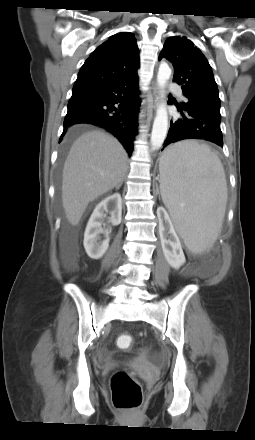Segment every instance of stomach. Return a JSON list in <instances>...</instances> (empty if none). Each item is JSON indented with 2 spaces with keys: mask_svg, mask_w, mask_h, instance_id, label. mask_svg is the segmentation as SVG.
Returning <instances> with one entry per match:
<instances>
[{
  "mask_svg": "<svg viewBox=\"0 0 255 440\" xmlns=\"http://www.w3.org/2000/svg\"><path fill=\"white\" fill-rule=\"evenodd\" d=\"M164 159H166V158H165V152H164V154H163L162 157H161L160 163H161Z\"/></svg>",
  "mask_w": 255,
  "mask_h": 440,
  "instance_id": "obj_1",
  "label": "stomach"
}]
</instances>
